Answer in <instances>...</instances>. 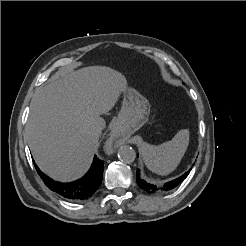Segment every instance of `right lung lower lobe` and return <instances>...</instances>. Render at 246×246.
Returning a JSON list of instances; mask_svg holds the SVG:
<instances>
[{
	"label": "right lung lower lobe",
	"instance_id": "right-lung-lower-lobe-1",
	"mask_svg": "<svg viewBox=\"0 0 246 246\" xmlns=\"http://www.w3.org/2000/svg\"><path fill=\"white\" fill-rule=\"evenodd\" d=\"M104 161L95 155L92 166L88 173L81 179L71 183H60L46 176L36 166L37 172L43 179L45 185L66 200L80 202L91 197L102 182Z\"/></svg>",
	"mask_w": 246,
	"mask_h": 246
}]
</instances>
